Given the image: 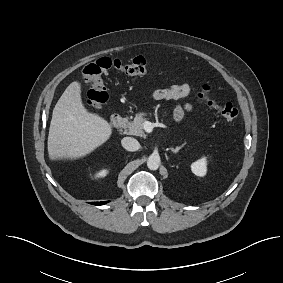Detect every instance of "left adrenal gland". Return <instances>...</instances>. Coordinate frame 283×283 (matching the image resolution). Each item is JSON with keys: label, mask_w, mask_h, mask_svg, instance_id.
Returning a JSON list of instances; mask_svg holds the SVG:
<instances>
[{"label": "left adrenal gland", "mask_w": 283, "mask_h": 283, "mask_svg": "<svg viewBox=\"0 0 283 283\" xmlns=\"http://www.w3.org/2000/svg\"><path fill=\"white\" fill-rule=\"evenodd\" d=\"M185 144H182L181 146H177L176 148H171V151L173 153H178L180 149L184 147Z\"/></svg>", "instance_id": "left-adrenal-gland-1"}]
</instances>
